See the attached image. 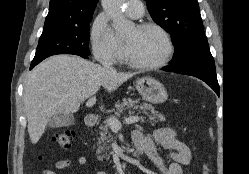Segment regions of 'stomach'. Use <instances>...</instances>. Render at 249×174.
I'll list each match as a JSON object with an SVG mask.
<instances>
[{
	"label": "stomach",
	"instance_id": "0dacf381",
	"mask_svg": "<svg viewBox=\"0 0 249 174\" xmlns=\"http://www.w3.org/2000/svg\"><path fill=\"white\" fill-rule=\"evenodd\" d=\"M136 88L144 100L153 104L163 103L168 98L165 87L151 77L137 79Z\"/></svg>",
	"mask_w": 249,
	"mask_h": 174
}]
</instances>
